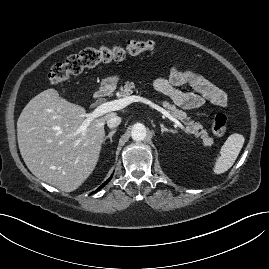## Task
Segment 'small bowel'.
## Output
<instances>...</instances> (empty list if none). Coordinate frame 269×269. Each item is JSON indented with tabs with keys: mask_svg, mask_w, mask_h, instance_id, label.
<instances>
[{
	"mask_svg": "<svg viewBox=\"0 0 269 269\" xmlns=\"http://www.w3.org/2000/svg\"><path fill=\"white\" fill-rule=\"evenodd\" d=\"M153 85L158 93L186 110L199 109L206 101L218 107L228 104L227 95L222 89L192 69L173 68L167 78H158ZM183 85L189 86L192 92L181 91L179 87Z\"/></svg>",
	"mask_w": 269,
	"mask_h": 269,
	"instance_id": "small-bowel-1",
	"label": "small bowel"
}]
</instances>
